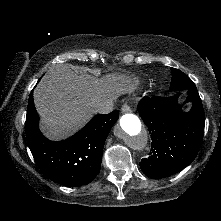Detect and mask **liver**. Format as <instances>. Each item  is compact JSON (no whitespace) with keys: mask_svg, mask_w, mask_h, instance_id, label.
I'll list each match as a JSON object with an SVG mask.
<instances>
[{"mask_svg":"<svg viewBox=\"0 0 221 221\" xmlns=\"http://www.w3.org/2000/svg\"><path fill=\"white\" fill-rule=\"evenodd\" d=\"M135 88L136 81L125 74L111 73L97 78L57 64L34 91L41 130L51 139L64 138L86 124L102 103L132 93Z\"/></svg>","mask_w":221,"mask_h":221,"instance_id":"obj_1","label":"liver"}]
</instances>
